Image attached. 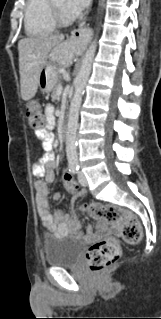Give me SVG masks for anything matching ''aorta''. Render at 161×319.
I'll return each mask as SVG.
<instances>
[{"mask_svg": "<svg viewBox=\"0 0 161 319\" xmlns=\"http://www.w3.org/2000/svg\"><path fill=\"white\" fill-rule=\"evenodd\" d=\"M104 5V0L101 1V6ZM96 52V39L87 49L79 72L74 80L75 92L71 100L69 117L66 130V154L70 166L78 164L77 156V129L79 120V110L82 102V95L89 79L93 59Z\"/></svg>", "mask_w": 161, "mask_h": 319, "instance_id": "aorta-1", "label": "aorta"}]
</instances>
